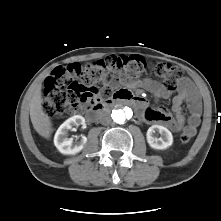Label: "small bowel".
<instances>
[{
	"label": "small bowel",
	"mask_w": 221,
	"mask_h": 221,
	"mask_svg": "<svg viewBox=\"0 0 221 221\" xmlns=\"http://www.w3.org/2000/svg\"><path fill=\"white\" fill-rule=\"evenodd\" d=\"M143 85L151 93L159 98H168L172 91L167 90L158 82L146 79L142 82L128 80L121 75H109L105 80L106 87H116L119 85ZM186 103L189 110V116L186 118L182 112V104ZM142 117L147 122L162 123L168 126L171 130L177 133H190L194 136L201 120L202 104L198 91L194 85L184 78L181 80L178 87V94L172 100L173 115L165 108L153 109L143 105Z\"/></svg>",
	"instance_id": "obj_1"
}]
</instances>
